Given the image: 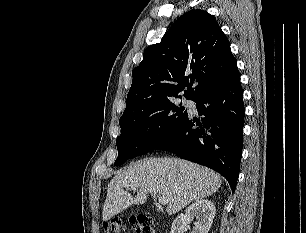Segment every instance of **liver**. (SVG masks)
Here are the masks:
<instances>
[{"instance_id": "obj_1", "label": "liver", "mask_w": 306, "mask_h": 233, "mask_svg": "<svg viewBox=\"0 0 306 233\" xmlns=\"http://www.w3.org/2000/svg\"><path fill=\"white\" fill-rule=\"evenodd\" d=\"M221 183L219 174L186 160L144 159L110 181L102 219L107 221L133 204H144L149 193L166 197V212L172 215L191 202L214 194ZM128 187L137 191L136 197L124 190Z\"/></svg>"}]
</instances>
